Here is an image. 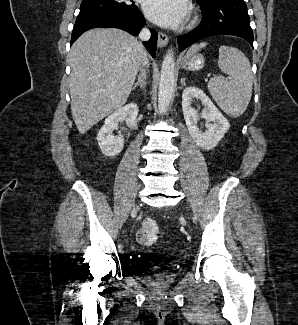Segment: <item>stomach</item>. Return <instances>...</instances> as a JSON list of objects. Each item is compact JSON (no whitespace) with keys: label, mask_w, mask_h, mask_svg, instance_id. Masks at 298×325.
Returning a JSON list of instances; mask_svg holds the SVG:
<instances>
[{"label":"stomach","mask_w":298,"mask_h":325,"mask_svg":"<svg viewBox=\"0 0 298 325\" xmlns=\"http://www.w3.org/2000/svg\"><path fill=\"white\" fill-rule=\"evenodd\" d=\"M205 66V56L203 54H191V56H183L181 60V68L184 70H201Z\"/></svg>","instance_id":"0dacf381"}]
</instances>
